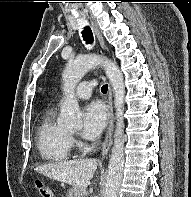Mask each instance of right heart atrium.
Here are the masks:
<instances>
[{"label":"right heart atrium","mask_w":191,"mask_h":197,"mask_svg":"<svg viewBox=\"0 0 191 197\" xmlns=\"http://www.w3.org/2000/svg\"><path fill=\"white\" fill-rule=\"evenodd\" d=\"M70 141L72 145L78 146L79 142L77 141V139L73 136H70Z\"/></svg>","instance_id":"d8ad5b80"}]
</instances>
